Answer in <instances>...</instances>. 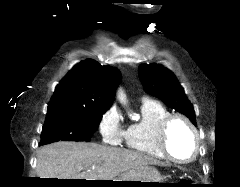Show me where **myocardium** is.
<instances>
[{"label": "myocardium", "mask_w": 240, "mask_h": 187, "mask_svg": "<svg viewBox=\"0 0 240 187\" xmlns=\"http://www.w3.org/2000/svg\"><path fill=\"white\" fill-rule=\"evenodd\" d=\"M176 121H180L185 124L192 134L194 149L192 155L188 159L182 160L176 158L168 148L169 129ZM157 142L159 149L165 157L177 164H187L194 161L200 152V138L197 128L187 117L180 114H170L161 121L157 131Z\"/></svg>", "instance_id": "f54148a6"}]
</instances>
